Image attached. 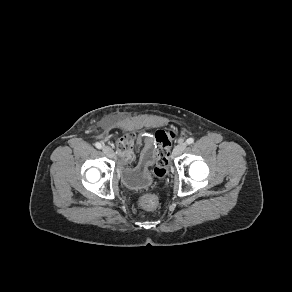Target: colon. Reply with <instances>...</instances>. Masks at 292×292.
I'll list each match as a JSON object with an SVG mask.
<instances>
[{
  "mask_svg": "<svg viewBox=\"0 0 292 292\" xmlns=\"http://www.w3.org/2000/svg\"><path fill=\"white\" fill-rule=\"evenodd\" d=\"M176 132L173 129L159 130L155 134V139L158 145V156L156 166L153 170L155 177L161 179L167 174L170 147L172 141L176 138ZM125 141L133 140V136L127 135L124 137ZM140 206L145 210H154L159 204V199L155 194H143L139 199Z\"/></svg>",
  "mask_w": 292,
  "mask_h": 292,
  "instance_id": "colon-1",
  "label": "colon"
}]
</instances>
